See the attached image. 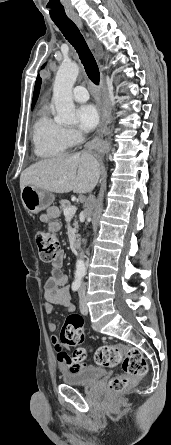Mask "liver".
<instances>
[{
	"mask_svg": "<svg viewBox=\"0 0 171 445\" xmlns=\"http://www.w3.org/2000/svg\"><path fill=\"white\" fill-rule=\"evenodd\" d=\"M100 176V164L89 153L57 156L37 162L20 176L21 190L32 185L53 193H87Z\"/></svg>",
	"mask_w": 171,
	"mask_h": 445,
	"instance_id": "liver-1",
	"label": "liver"
}]
</instances>
